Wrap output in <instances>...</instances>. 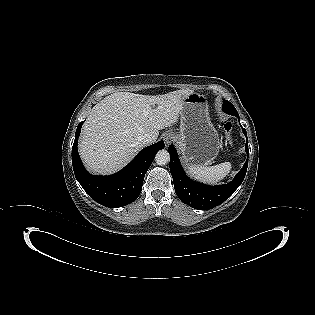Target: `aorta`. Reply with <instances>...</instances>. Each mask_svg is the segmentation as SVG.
I'll list each match as a JSON object with an SVG mask.
<instances>
[{
  "label": "aorta",
  "instance_id": "obj_1",
  "mask_svg": "<svg viewBox=\"0 0 315 315\" xmlns=\"http://www.w3.org/2000/svg\"><path fill=\"white\" fill-rule=\"evenodd\" d=\"M170 155L167 150H160L155 156V161L158 165H165L169 162Z\"/></svg>",
  "mask_w": 315,
  "mask_h": 315
}]
</instances>
